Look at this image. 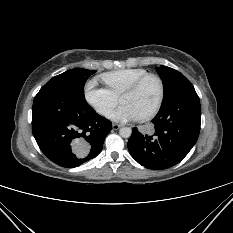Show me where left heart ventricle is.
<instances>
[{
	"label": "left heart ventricle",
	"instance_id": "b2bd125f",
	"mask_svg": "<svg viewBox=\"0 0 233 233\" xmlns=\"http://www.w3.org/2000/svg\"><path fill=\"white\" fill-rule=\"evenodd\" d=\"M159 95V83L156 79L151 78L136 92L123 95L120 101L122 104L130 105L140 118L153 110L158 102Z\"/></svg>",
	"mask_w": 233,
	"mask_h": 233
}]
</instances>
